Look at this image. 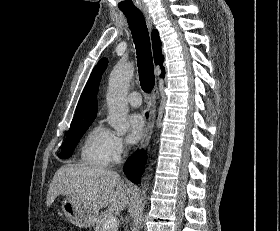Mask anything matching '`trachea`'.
I'll list each match as a JSON object with an SVG mask.
<instances>
[{
    "mask_svg": "<svg viewBox=\"0 0 280 231\" xmlns=\"http://www.w3.org/2000/svg\"><path fill=\"white\" fill-rule=\"evenodd\" d=\"M132 32L137 51V66L141 88L150 93L155 85L150 37L143 13L138 9L123 11Z\"/></svg>",
    "mask_w": 280,
    "mask_h": 231,
    "instance_id": "obj_1",
    "label": "trachea"
}]
</instances>
